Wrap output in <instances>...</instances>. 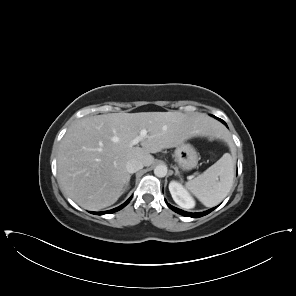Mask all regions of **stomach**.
I'll use <instances>...</instances> for the list:
<instances>
[{
  "instance_id": "stomach-1",
  "label": "stomach",
  "mask_w": 296,
  "mask_h": 296,
  "mask_svg": "<svg viewBox=\"0 0 296 296\" xmlns=\"http://www.w3.org/2000/svg\"><path fill=\"white\" fill-rule=\"evenodd\" d=\"M174 161L183 171H189L198 164L199 157L195 148L189 143H182L174 151Z\"/></svg>"
}]
</instances>
